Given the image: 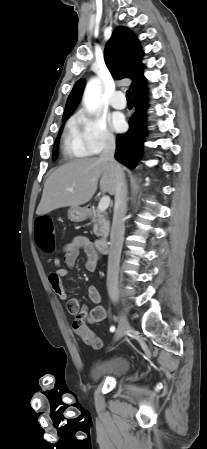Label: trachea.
Segmentation results:
<instances>
[{
  "label": "trachea",
  "mask_w": 207,
  "mask_h": 449,
  "mask_svg": "<svg viewBox=\"0 0 207 449\" xmlns=\"http://www.w3.org/2000/svg\"><path fill=\"white\" fill-rule=\"evenodd\" d=\"M126 99L128 102H132V92L130 89L126 92Z\"/></svg>",
  "instance_id": "obj_1"
}]
</instances>
